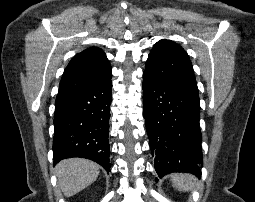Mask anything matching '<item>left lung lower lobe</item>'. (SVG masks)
<instances>
[{
  "label": "left lung lower lobe",
  "mask_w": 255,
  "mask_h": 202,
  "mask_svg": "<svg viewBox=\"0 0 255 202\" xmlns=\"http://www.w3.org/2000/svg\"><path fill=\"white\" fill-rule=\"evenodd\" d=\"M143 115L159 177L201 175L202 135L198 93L170 88L143 74Z\"/></svg>",
  "instance_id": "1"
}]
</instances>
